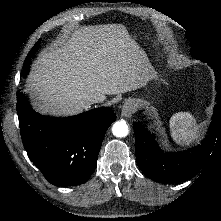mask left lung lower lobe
Returning a JSON list of instances; mask_svg holds the SVG:
<instances>
[{"mask_svg": "<svg viewBox=\"0 0 221 221\" xmlns=\"http://www.w3.org/2000/svg\"><path fill=\"white\" fill-rule=\"evenodd\" d=\"M216 105L208 136L186 152L166 154L155 136L140 122H134L135 152L138 167L150 179L160 183H176L194 177L203 167L214 147L221 140V82L216 83Z\"/></svg>", "mask_w": 221, "mask_h": 221, "instance_id": "0a47b994", "label": "left lung lower lobe"}]
</instances>
